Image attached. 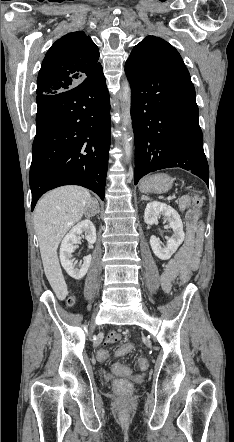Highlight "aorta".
<instances>
[{
  "instance_id": "obj_1",
  "label": "aorta",
  "mask_w": 234,
  "mask_h": 442,
  "mask_svg": "<svg viewBox=\"0 0 234 442\" xmlns=\"http://www.w3.org/2000/svg\"><path fill=\"white\" fill-rule=\"evenodd\" d=\"M122 98V111H123V148L126 155V160L130 159L131 156V145H130V135L128 132V128L131 127V88L130 84L127 80L124 81L121 92Z\"/></svg>"
}]
</instances>
